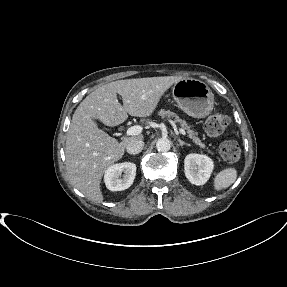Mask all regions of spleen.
Masks as SVG:
<instances>
[{
	"label": "spleen",
	"mask_w": 287,
	"mask_h": 287,
	"mask_svg": "<svg viewBox=\"0 0 287 287\" xmlns=\"http://www.w3.org/2000/svg\"><path fill=\"white\" fill-rule=\"evenodd\" d=\"M237 178L235 168H226L220 171L214 178V189L220 191L232 185Z\"/></svg>",
	"instance_id": "obj_1"
}]
</instances>
